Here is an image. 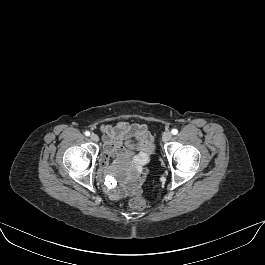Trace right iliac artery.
<instances>
[{"instance_id": "82829eb1", "label": "right iliac artery", "mask_w": 265, "mask_h": 265, "mask_svg": "<svg viewBox=\"0 0 265 265\" xmlns=\"http://www.w3.org/2000/svg\"><path fill=\"white\" fill-rule=\"evenodd\" d=\"M85 135H86V136H89V135H90V132H89V131H86V132H85Z\"/></svg>"}]
</instances>
